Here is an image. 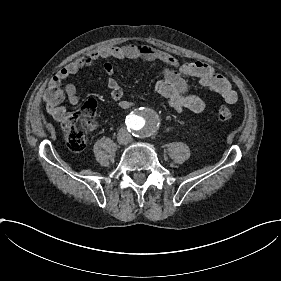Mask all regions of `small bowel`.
<instances>
[{
  "label": "small bowel",
  "instance_id": "obj_1",
  "mask_svg": "<svg viewBox=\"0 0 281 281\" xmlns=\"http://www.w3.org/2000/svg\"><path fill=\"white\" fill-rule=\"evenodd\" d=\"M104 59H133L163 63L165 67L161 70V78L156 82L155 88L169 99L172 108L180 116L200 113L205 109L203 99L189 92L188 78H196L206 88L218 92L229 105L235 104L238 99L230 81L207 63L187 62L178 66L177 60L171 54L142 44L106 46L69 64L48 85L44 95V106L58 124L65 122L69 114L67 108L62 105L63 101L67 100L71 105H77L80 102V96L74 84L67 83L63 89H60V83ZM104 71L108 76L107 87L111 98L124 110L134 108L135 103L131 99L124 98L123 90L113 77L114 67L111 64H105Z\"/></svg>",
  "mask_w": 281,
  "mask_h": 281
}]
</instances>
